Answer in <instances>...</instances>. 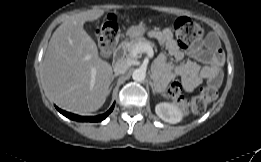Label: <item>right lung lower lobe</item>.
<instances>
[{
	"label": "right lung lower lobe",
	"mask_w": 261,
	"mask_h": 162,
	"mask_svg": "<svg viewBox=\"0 0 261 162\" xmlns=\"http://www.w3.org/2000/svg\"><path fill=\"white\" fill-rule=\"evenodd\" d=\"M56 108L61 114H63L64 116H66L67 118H70L72 120L86 121V122H99V121L104 120L112 112V110L114 108V104L105 114H101L98 116H78L76 114L65 112L64 110H61L58 107H56Z\"/></svg>",
	"instance_id": "right-lung-lower-lobe-1"
}]
</instances>
